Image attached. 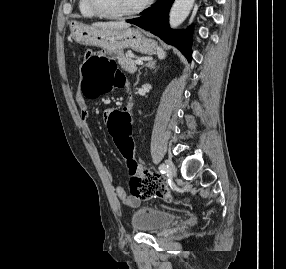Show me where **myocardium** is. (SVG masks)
I'll return each instance as SVG.
<instances>
[{
	"instance_id": "1",
	"label": "myocardium",
	"mask_w": 286,
	"mask_h": 269,
	"mask_svg": "<svg viewBox=\"0 0 286 269\" xmlns=\"http://www.w3.org/2000/svg\"><path fill=\"white\" fill-rule=\"evenodd\" d=\"M153 0H145L140 6L137 8L123 13H110L105 11L99 4L98 0H89L90 6L92 10L96 13L97 16L106 18V19H126L130 17H134L144 12L151 4Z\"/></svg>"
}]
</instances>
